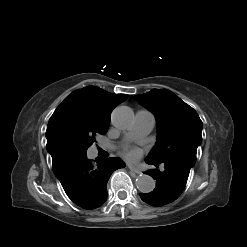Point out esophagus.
I'll return each mask as SVG.
<instances>
[{
	"label": "esophagus",
	"mask_w": 247,
	"mask_h": 247,
	"mask_svg": "<svg viewBox=\"0 0 247 247\" xmlns=\"http://www.w3.org/2000/svg\"><path fill=\"white\" fill-rule=\"evenodd\" d=\"M127 166H128V168H129L131 171H133V172H135V173H137V174L141 173L135 166L130 165V164H128Z\"/></svg>",
	"instance_id": "obj_1"
}]
</instances>
